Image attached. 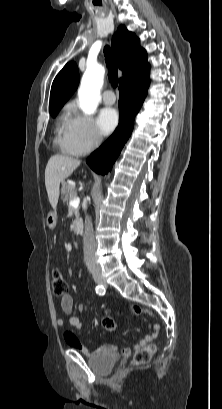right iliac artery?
I'll return each mask as SVG.
<instances>
[{
    "instance_id": "1",
    "label": "right iliac artery",
    "mask_w": 222,
    "mask_h": 409,
    "mask_svg": "<svg viewBox=\"0 0 222 409\" xmlns=\"http://www.w3.org/2000/svg\"><path fill=\"white\" fill-rule=\"evenodd\" d=\"M95 291H96V293L98 295L103 296L105 294V292H106V289H105L104 286L98 285V286H96Z\"/></svg>"
}]
</instances>
